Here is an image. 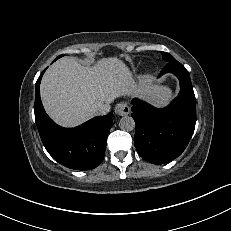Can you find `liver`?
I'll return each mask as SVG.
<instances>
[{"instance_id": "obj_1", "label": "liver", "mask_w": 231, "mask_h": 231, "mask_svg": "<svg viewBox=\"0 0 231 231\" xmlns=\"http://www.w3.org/2000/svg\"><path fill=\"white\" fill-rule=\"evenodd\" d=\"M128 67L116 57L98 60L92 67L64 57L45 72L40 86L47 114L59 125L75 127L95 116L93 109L109 105L123 95L148 94V99L165 104L170 90L148 84L136 88Z\"/></svg>"}]
</instances>
